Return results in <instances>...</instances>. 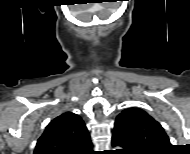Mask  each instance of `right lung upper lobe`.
I'll return each mask as SVG.
<instances>
[{
  "label": "right lung upper lobe",
  "mask_w": 190,
  "mask_h": 154,
  "mask_svg": "<svg viewBox=\"0 0 190 154\" xmlns=\"http://www.w3.org/2000/svg\"><path fill=\"white\" fill-rule=\"evenodd\" d=\"M90 134L80 116L65 112L53 119L39 138L34 154H91Z\"/></svg>",
  "instance_id": "1"
}]
</instances>
